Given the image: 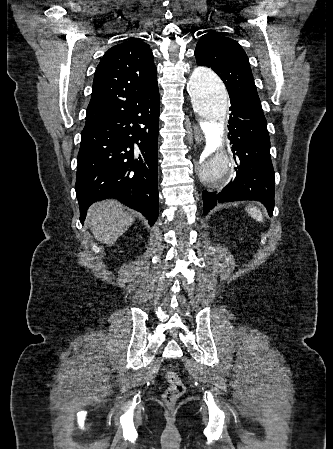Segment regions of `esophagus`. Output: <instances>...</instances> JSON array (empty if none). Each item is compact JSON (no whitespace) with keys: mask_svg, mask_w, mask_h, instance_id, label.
Returning <instances> with one entry per match:
<instances>
[{"mask_svg":"<svg viewBox=\"0 0 333 449\" xmlns=\"http://www.w3.org/2000/svg\"><path fill=\"white\" fill-rule=\"evenodd\" d=\"M193 136L197 143L203 140V135L198 125H193Z\"/></svg>","mask_w":333,"mask_h":449,"instance_id":"obj_1","label":"esophagus"}]
</instances>
